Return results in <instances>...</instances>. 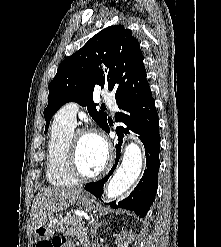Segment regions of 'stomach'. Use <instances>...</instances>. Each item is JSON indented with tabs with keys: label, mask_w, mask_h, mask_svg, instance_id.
Wrapping results in <instances>:
<instances>
[{
	"label": "stomach",
	"mask_w": 221,
	"mask_h": 247,
	"mask_svg": "<svg viewBox=\"0 0 221 247\" xmlns=\"http://www.w3.org/2000/svg\"><path fill=\"white\" fill-rule=\"evenodd\" d=\"M78 204L81 209L85 211H91L93 209L92 200L87 195H80L78 198ZM53 218L49 217L44 222L40 223L34 229V236L37 241H42L45 239H49L54 235L55 225L52 222Z\"/></svg>",
	"instance_id": "obj_1"
}]
</instances>
